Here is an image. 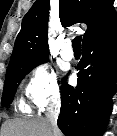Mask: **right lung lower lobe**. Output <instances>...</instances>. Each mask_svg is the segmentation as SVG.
<instances>
[{
	"label": "right lung lower lobe",
	"mask_w": 117,
	"mask_h": 136,
	"mask_svg": "<svg viewBox=\"0 0 117 136\" xmlns=\"http://www.w3.org/2000/svg\"><path fill=\"white\" fill-rule=\"evenodd\" d=\"M77 86L62 80L57 121L65 136L102 134L117 91V23L83 41Z\"/></svg>",
	"instance_id": "98d812e1"
}]
</instances>
